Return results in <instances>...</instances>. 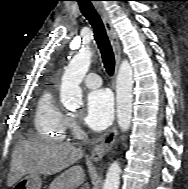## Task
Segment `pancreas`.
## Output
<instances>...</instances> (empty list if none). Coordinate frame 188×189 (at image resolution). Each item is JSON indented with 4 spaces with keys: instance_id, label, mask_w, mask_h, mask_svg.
<instances>
[{
    "instance_id": "obj_1",
    "label": "pancreas",
    "mask_w": 188,
    "mask_h": 189,
    "mask_svg": "<svg viewBox=\"0 0 188 189\" xmlns=\"http://www.w3.org/2000/svg\"><path fill=\"white\" fill-rule=\"evenodd\" d=\"M60 180H61V177H58L54 182H52L50 184L49 189H57V186H58Z\"/></svg>"
}]
</instances>
